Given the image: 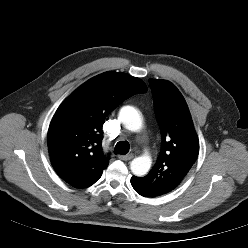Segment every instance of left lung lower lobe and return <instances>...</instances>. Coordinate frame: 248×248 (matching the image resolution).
Wrapping results in <instances>:
<instances>
[{
    "mask_svg": "<svg viewBox=\"0 0 248 248\" xmlns=\"http://www.w3.org/2000/svg\"><path fill=\"white\" fill-rule=\"evenodd\" d=\"M131 185L134 188V190L140 194L141 196L144 197H156L155 195H153L151 192H149L145 187L140 186L136 183H134L133 181H131Z\"/></svg>",
    "mask_w": 248,
    "mask_h": 248,
    "instance_id": "1",
    "label": "left lung lower lobe"
}]
</instances>
